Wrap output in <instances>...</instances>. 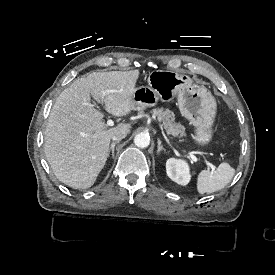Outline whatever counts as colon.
Returning a JSON list of instances; mask_svg holds the SVG:
<instances>
[{"mask_svg":"<svg viewBox=\"0 0 275 275\" xmlns=\"http://www.w3.org/2000/svg\"><path fill=\"white\" fill-rule=\"evenodd\" d=\"M224 107H225L226 109H228V110H227V113H228L229 115H232V114L234 113V110H233L232 108H230V107H231V104H230L229 102H226V103L224 104Z\"/></svg>","mask_w":275,"mask_h":275,"instance_id":"obj_1","label":"colon"}]
</instances>
